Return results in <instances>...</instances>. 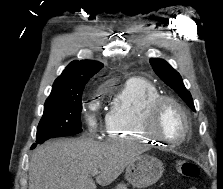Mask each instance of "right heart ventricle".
Masks as SVG:
<instances>
[{
    "instance_id": "right-heart-ventricle-1",
    "label": "right heart ventricle",
    "mask_w": 223,
    "mask_h": 189,
    "mask_svg": "<svg viewBox=\"0 0 223 189\" xmlns=\"http://www.w3.org/2000/svg\"><path fill=\"white\" fill-rule=\"evenodd\" d=\"M160 95L157 88L143 79L127 81L113 97L105 117L108 139L157 143L141 129L147 105Z\"/></svg>"
}]
</instances>
